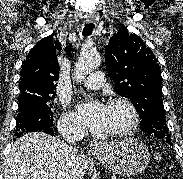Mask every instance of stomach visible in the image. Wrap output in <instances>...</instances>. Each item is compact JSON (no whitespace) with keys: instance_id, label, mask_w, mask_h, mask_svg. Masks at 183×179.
<instances>
[{"instance_id":"obj_1","label":"stomach","mask_w":183,"mask_h":179,"mask_svg":"<svg viewBox=\"0 0 183 179\" xmlns=\"http://www.w3.org/2000/svg\"><path fill=\"white\" fill-rule=\"evenodd\" d=\"M95 155L102 166L124 176L141 173L150 161L146 145L137 139L103 143L96 149Z\"/></svg>"}]
</instances>
